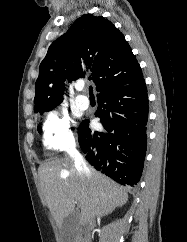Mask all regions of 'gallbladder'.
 Returning <instances> with one entry per match:
<instances>
[{
    "instance_id": "obj_1",
    "label": "gallbladder",
    "mask_w": 187,
    "mask_h": 242,
    "mask_svg": "<svg viewBox=\"0 0 187 242\" xmlns=\"http://www.w3.org/2000/svg\"><path fill=\"white\" fill-rule=\"evenodd\" d=\"M78 225V213H72L66 217L61 227V242H74Z\"/></svg>"
}]
</instances>
